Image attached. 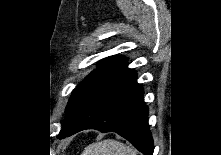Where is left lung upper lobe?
<instances>
[{"label":"left lung upper lobe","mask_w":221,"mask_h":155,"mask_svg":"<svg viewBox=\"0 0 221 155\" xmlns=\"http://www.w3.org/2000/svg\"><path fill=\"white\" fill-rule=\"evenodd\" d=\"M126 61V58L123 57H109L100 61L99 67L89 74L73 91L67 105V118L63 129L67 128L75 120L97 86L112 72L125 64Z\"/></svg>","instance_id":"5c2ea615"}]
</instances>
